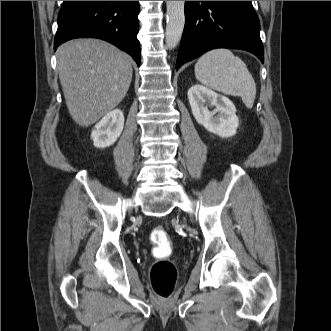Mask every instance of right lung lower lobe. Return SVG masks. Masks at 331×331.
<instances>
[{"mask_svg": "<svg viewBox=\"0 0 331 331\" xmlns=\"http://www.w3.org/2000/svg\"><path fill=\"white\" fill-rule=\"evenodd\" d=\"M138 14V1H64L54 49L74 38H99L127 52L140 65Z\"/></svg>", "mask_w": 331, "mask_h": 331, "instance_id": "98d812e1", "label": "right lung lower lobe"}]
</instances>
